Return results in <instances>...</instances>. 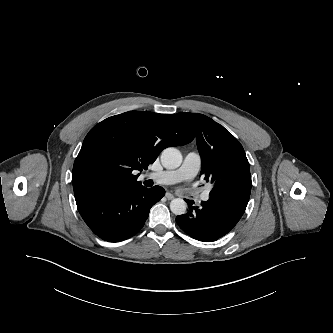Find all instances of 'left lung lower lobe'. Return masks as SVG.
<instances>
[{
  "label": "left lung lower lobe",
  "mask_w": 333,
  "mask_h": 333,
  "mask_svg": "<svg viewBox=\"0 0 333 333\" xmlns=\"http://www.w3.org/2000/svg\"><path fill=\"white\" fill-rule=\"evenodd\" d=\"M250 172L235 174L221 180L202 202L194 207L193 200L185 199L189 211L176 218L178 226L199 241L212 242L226 235L238 223L249 201Z\"/></svg>",
  "instance_id": "1"
}]
</instances>
